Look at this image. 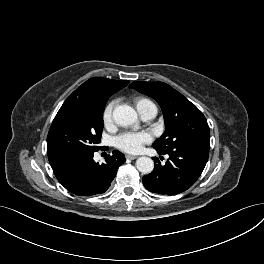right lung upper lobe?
<instances>
[{
	"mask_svg": "<svg viewBox=\"0 0 264 264\" xmlns=\"http://www.w3.org/2000/svg\"><path fill=\"white\" fill-rule=\"evenodd\" d=\"M129 81H117L94 77L79 86L68 99L85 100L90 102H107L108 98L127 86Z\"/></svg>",
	"mask_w": 264,
	"mask_h": 264,
	"instance_id": "right-lung-upper-lobe-1",
	"label": "right lung upper lobe"
}]
</instances>
